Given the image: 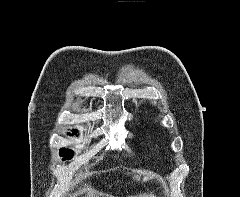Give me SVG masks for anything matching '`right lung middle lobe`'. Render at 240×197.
Returning <instances> with one entry per match:
<instances>
[{
	"label": "right lung middle lobe",
	"mask_w": 240,
	"mask_h": 197,
	"mask_svg": "<svg viewBox=\"0 0 240 197\" xmlns=\"http://www.w3.org/2000/svg\"><path fill=\"white\" fill-rule=\"evenodd\" d=\"M76 130H73V134L76 135ZM60 155L63 156V160L65 159H70L72 158V156L74 155L73 151L72 150H69V149H64V148H61L60 150Z\"/></svg>",
	"instance_id": "obj_1"
}]
</instances>
